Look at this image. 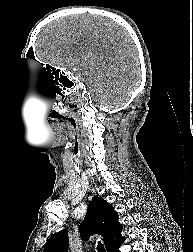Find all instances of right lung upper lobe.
Here are the masks:
<instances>
[{
  "instance_id": "cb5924a9",
  "label": "right lung upper lobe",
  "mask_w": 193,
  "mask_h": 252,
  "mask_svg": "<svg viewBox=\"0 0 193 252\" xmlns=\"http://www.w3.org/2000/svg\"><path fill=\"white\" fill-rule=\"evenodd\" d=\"M121 231L118 213L107 201L94 196L88 204L84 222L80 225L81 239L86 241L90 235L98 233L103 238L107 252H113L124 241ZM68 247L67 233L62 230L48 239L43 252H67Z\"/></svg>"
}]
</instances>
